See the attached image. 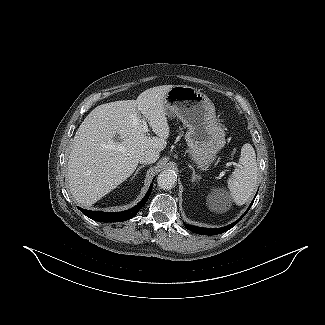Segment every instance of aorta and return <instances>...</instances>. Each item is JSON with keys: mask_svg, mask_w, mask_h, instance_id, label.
<instances>
[{"mask_svg": "<svg viewBox=\"0 0 325 325\" xmlns=\"http://www.w3.org/2000/svg\"><path fill=\"white\" fill-rule=\"evenodd\" d=\"M176 181V174L171 170L162 171L157 178L158 186L164 190L174 188Z\"/></svg>", "mask_w": 325, "mask_h": 325, "instance_id": "762f6f07", "label": "aorta"}]
</instances>
